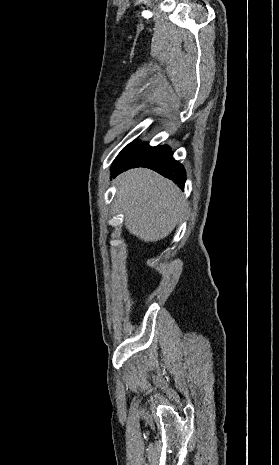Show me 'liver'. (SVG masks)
<instances>
[{"instance_id":"6515ba94","label":"liver","mask_w":279,"mask_h":465,"mask_svg":"<svg viewBox=\"0 0 279 465\" xmlns=\"http://www.w3.org/2000/svg\"><path fill=\"white\" fill-rule=\"evenodd\" d=\"M116 184V204L130 234L155 242L173 231L186 201L172 181L150 169L135 168L120 174Z\"/></svg>"}]
</instances>
